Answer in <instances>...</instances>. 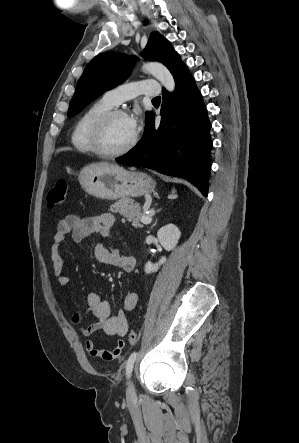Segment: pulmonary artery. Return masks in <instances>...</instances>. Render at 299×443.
Returning <instances> with one entry per match:
<instances>
[{"label": "pulmonary artery", "instance_id": "pulmonary-artery-1", "mask_svg": "<svg viewBox=\"0 0 299 443\" xmlns=\"http://www.w3.org/2000/svg\"><path fill=\"white\" fill-rule=\"evenodd\" d=\"M159 93L160 87L156 81L140 80L121 84L108 90L103 98L111 105L116 106L139 95L157 96Z\"/></svg>", "mask_w": 299, "mask_h": 443}]
</instances>
